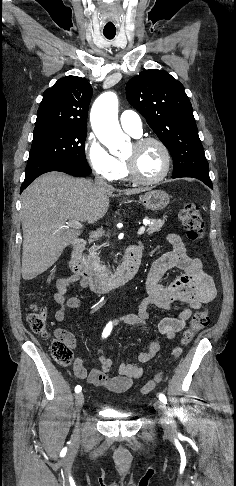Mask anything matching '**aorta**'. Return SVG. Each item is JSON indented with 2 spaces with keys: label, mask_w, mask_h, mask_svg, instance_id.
<instances>
[{
  "label": "aorta",
  "mask_w": 236,
  "mask_h": 486,
  "mask_svg": "<svg viewBox=\"0 0 236 486\" xmlns=\"http://www.w3.org/2000/svg\"><path fill=\"white\" fill-rule=\"evenodd\" d=\"M118 98L113 92L102 94L91 109V125L97 138L111 154L127 146L128 136L123 133L118 122Z\"/></svg>",
  "instance_id": "762f6f07"
}]
</instances>
